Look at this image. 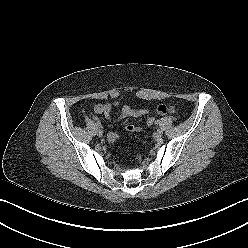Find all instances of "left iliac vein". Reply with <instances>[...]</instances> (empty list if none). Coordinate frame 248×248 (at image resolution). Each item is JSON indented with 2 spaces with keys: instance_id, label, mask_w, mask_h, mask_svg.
I'll list each match as a JSON object with an SVG mask.
<instances>
[{
  "instance_id": "4c4485c4",
  "label": "left iliac vein",
  "mask_w": 248,
  "mask_h": 248,
  "mask_svg": "<svg viewBox=\"0 0 248 248\" xmlns=\"http://www.w3.org/2000/svg\"><path fill=\"white\" fill-rule=\"evenodd\" d=\"M162 134H163V131L161 129H158L155 134H154V137L156 139H160L162 137Z\"/></svg>"
}]
</instances>
